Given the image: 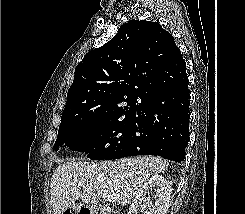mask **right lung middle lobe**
I'll return each instance as SVG.
<instances>
[{
    "mask_svg": "<svg viewBox=\"0 0 245 214\" xmlns=\"http://www.w3.org/2000/svg\"><path fill=\"white\" fill-rule=\"evenodd\" d=\"M135 109L107 117L91 114L62 115L55 150L65 144L73 151L88 153L92 160L115 159L127 143Z\"/></svg>",
    "mask_w": 245,
    "mask_h": 214,
    "instance_id": "dd1d6c3e",
    "label": "right lung middle lobe"
}]
</instances>
